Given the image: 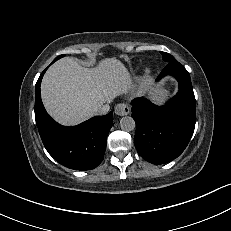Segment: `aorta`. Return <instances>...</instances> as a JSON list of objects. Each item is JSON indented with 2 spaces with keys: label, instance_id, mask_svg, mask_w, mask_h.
Returning a JSON list of instances; mask_svg holds the SVG:
<instances>
[{
  "label": "aorta",
  "instance_id": "762f6f07",
  "mask_svg": "<svg viewBox=\"0 0 231 231\" xmlns=\"http://www.w3.org/2000/svg\"><path fill=\"white\" fill-rule=\"evenodd\" d=\"M120 128L124 131H132L135 128V121L130 116L122 117L120 120Z\"/></svg>",
  "mask_w": 231,
  "mask_h": 231
}]
</instances>
